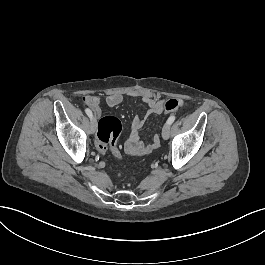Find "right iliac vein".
<instances>
[{"label": "right iliac vein", "mask_w": 265, "mask_h": 265, "mask_svg": "<svg viewBox=\"0 0 265 265\" xmlns=\"http://www.w3.org/2000/svg\"><path fill=\"white\" fill-rule=\"evenodd\" d=\"M97 128V120L92 119L91 122L89 123V130L91 134H94L96 132Z\"/></svg>", "instance_id": "63e3f726"}]
</instances>
